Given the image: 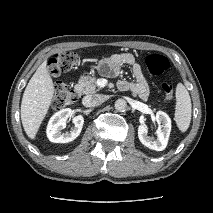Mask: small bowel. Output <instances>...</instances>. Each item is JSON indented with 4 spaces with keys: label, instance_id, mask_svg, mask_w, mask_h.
I'll return each mask as SVG.
<instances>
[{
    "label": "small bowel",
    "instance_id": "obj_1",
    "mask_svg": "<svg viewBox=\"0 0 213 213\" xmlns=\"http://www.w3.org/2000/svg\"><path fill=\"white\" fill-rule=\"evenodd\" d=\"M130 66L134 75V81L120 80L118 88L123 91H131L142 99H147L149 95V86L140 64L134 56L129 53L115 54L102 61L99 65L100 71L108 77L115 76L121 66Z\"/></svg>",
    "mask_w": 213,
    "mask_h": 213
}]
</instances>
